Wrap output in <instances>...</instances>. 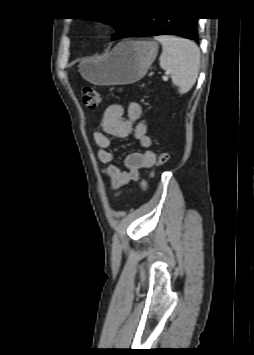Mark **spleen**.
Returning <instances> with one entry per match:
<instances>
[{"mask_svg":"<svg viewBox=\"0 0 254 355\" xmlns=\"http://www.w3.org/2000/svg\"><path fill=\"white\" fill-rule=\"evenodd\" d=\"M162 44L160 66L170 72L172 83L180 94L187 93L196 83L200 68V50L187 39L163 35L155 36Z\"/></svg>","mask_w":254,"mask_h":355,"instance_id":"3e777b00","label":"spleen"}]
</instances>
